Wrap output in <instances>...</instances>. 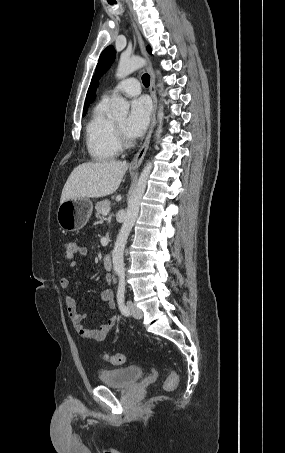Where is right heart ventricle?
I'll return each instance as SVG.
<instances>
[{
    "instance_id": "e07e8e85",
    "label": "right heart ventricle",
    "mask_w": 285,
    "mask_h": 453,
    "mask_svg": "<svg viewBox=\"0 0 285 453\" xmlns=\"http://www.w3.org/2000/svg\"><path fill=\"white\" fill-rule=\"evenodd\" d=\"M109 101L102 99L93 109L86 126V145L95 160L104 161L115 158L121 151L115 122L108 117Z\"/></svg>"
}]
</instances>
